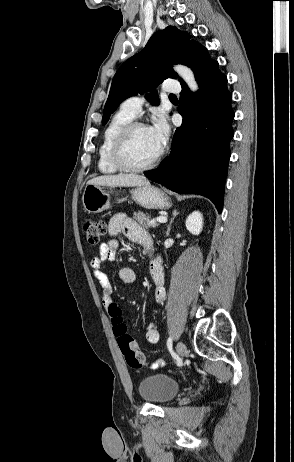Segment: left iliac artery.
<instances>
[{
    "label": "left iliac artery",
    "mask_w": 294,
    "mask_h": 462,
    "mask_svg": "<svg viewBox=\"0 0 294 462\" xmlns=\"http://www.w3.org/2000/svg\"><path fill=\"white\" fill-rule=\"evenodd\" d=\"M167 352H169V356H171L172 360L176 361L175 363L177 366L182 365V358H180L178 353L174 351L171 337L167 340Z\"/></svg>",
    "instance_id": "44dca946"
}]
</instances>
